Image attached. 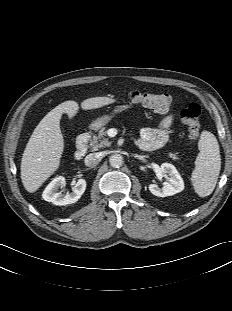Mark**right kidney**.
<instances>
[{
  "label": "right kidney",
  "mask_w": 232,
  "mask_h": 311,
  "mask_svg": "<svg viewBox=\"0 0 232 311\" xmlns=\"http://www.w3.org/2000/svg\"><path fill=\"white\" fill-rule=\"evenodd\" d=\"M66 185V180L64 177L59 176L55 178L48 186L45 188L42 197L45 201L52 202L55 205H67L78 201L86 189V181L84 179H79L71 193L63 195L58 192L59 188Z\"/></svg>",
  "instance_id": "1"
}]
</instances>
